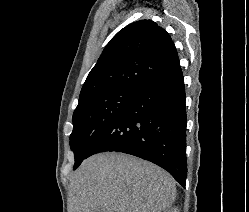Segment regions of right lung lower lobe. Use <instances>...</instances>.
<instances>
[{
  "label": "right lung lower lobe",
  "instance_id": "obj_1",
  "mask_svg": "<svg viewBox=\"0 0 249 212\" xmlns=\"http://www.w3.org/2000/svg\"><path fill=\"white\" fill-rule=\"evenodd\" d=\"M105 151L131 154L186 183V110L181 68L141 90L92 145L88 157Z\"/></svg>",
  "mask_w": 249,
  "mask_h": 212
}]
</instances>
